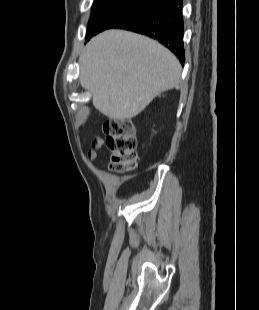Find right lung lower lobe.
I'll use <instances>...</instances> for the list:
<instances>
[{
  "instance_id": "1",
  "label": "right lung lower lobe",
  "mask_w": 259,
  "mask_h": 310,
  "mask_svg": "<svg viewBox=\"0 0 259 310\" xmlns=\"http://www.w3.org/2000/svg\"><path fill=\"white\" fill-rule=\"evenodd\" d=\"M182 0H158L157 3L115 28L147 35L170 49L184 64Z\"/></svg>"
}]
</instances>
